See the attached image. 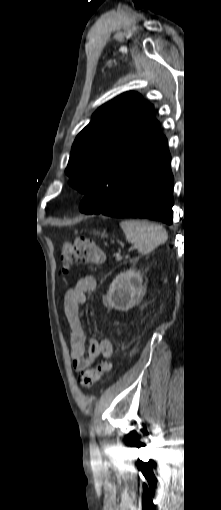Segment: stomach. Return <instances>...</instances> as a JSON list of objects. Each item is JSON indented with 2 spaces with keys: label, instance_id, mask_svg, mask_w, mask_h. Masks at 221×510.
Masks as SVG:
<instances>
[{
  "label": "stomach",
  "instance_id": "obj_1",
  "mask_svg": "<svg viewBox=\"0 0 221 510\" xmlns=\"http://www.w3.org/2000/svg\"><path fill=\"white\" fill-rule=\"evenodd\" d=\"M95 233H96V234H99L98 232H95ZM103 235H104V234L102 233V236H103Z\"/></svg>",
  "mask_w": 221,
  "mask_h": 510
}]
</instances>
